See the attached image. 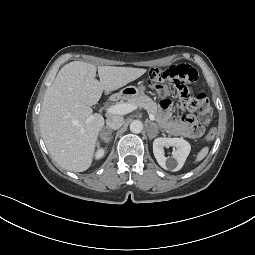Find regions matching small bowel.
I'll use <instances>...</instances> for the list:
<instances>
[{"instance_id": "c3829d8e", "label": "small bowel", "mask_w": 255, "mask_h": 255, "mask_svg": "<svg viewBox=\"0 0 255 255\" xmlns=\"http://www.w3.org/2000/svg\"><path fill=\"white\" fill-rule=\"evenodd\" d=\"M161 120L164 128L171 134L190 139L199 138L203 134V128L198 125L193 114H185L180 120L171 118V106L168 100L162 102Z\"/></svg>"}]
</instances>
